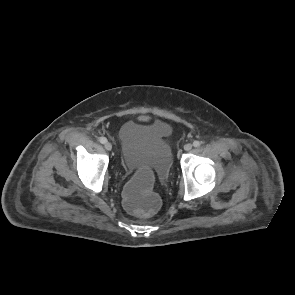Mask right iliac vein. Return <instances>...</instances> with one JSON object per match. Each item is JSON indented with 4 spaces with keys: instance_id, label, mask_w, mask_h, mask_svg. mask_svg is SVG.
<instances>
[{
    "instance_id": "right-iliac-vein-1",
    "label": "right iliac vein",
    "mask_w": 295,
    "mask_h": 295,
    "mask_svg": "<svg viewBox=\"0 0 295 295\" xmlns=\"http://www.w3.org/2000/svg\"><path fill=\"white\" fill-rule=\"evenodd\" d=\"M104 146H105V149L108 151L112 149V144L110 142H106Z\"/></svg>"
}]
</instances>
